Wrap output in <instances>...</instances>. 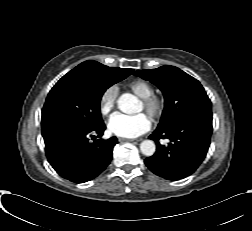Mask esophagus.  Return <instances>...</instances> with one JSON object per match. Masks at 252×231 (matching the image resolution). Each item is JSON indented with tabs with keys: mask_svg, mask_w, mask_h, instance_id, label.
I'll return each instance as SVG.
<instances>
[{
	"mask_svg": "<svg viewBox=\"0 0 252 231\" xmlns=\"http://www.w3.org/2000/svg\"><path fill=\"white\" fill-rule=\"evenodd\" d=\"M118 141L119 142H133L134 140H132V139H127V138H118Z\"/></svg>",
	"mask_w": 252,
	"mask_h": 231,
	"instance_id": "esophagus-1",
	"label": "esophagus"
}]
</instances>
